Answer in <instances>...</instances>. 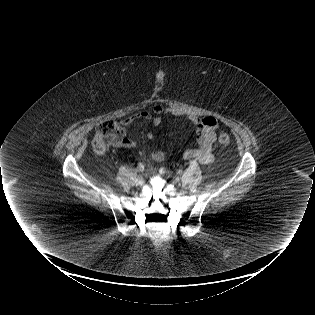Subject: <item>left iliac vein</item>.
Segmentation results:
<instances>
[{
  "instance_id": "left-iliac-vein-1",
  "label": "left iliac vein",
  "mask_w": 315,
  "mask_h": 315,
  "mask_svg": "<svg viewBox=\"0 0 315 315\" xmlns=\"http://www.w3.org/2000/svg\"><path fill=\"white\" fill-rule=\"evenodd\" d=\"M160 174L166 175L168 178H172V182H173V183H178V182L180 181V177H179V176H171V175L169 174V172L166 171V170H164V169H161V170H160Z\"/></svg>"
}]
</instances>
